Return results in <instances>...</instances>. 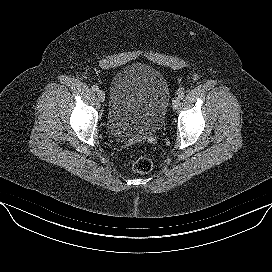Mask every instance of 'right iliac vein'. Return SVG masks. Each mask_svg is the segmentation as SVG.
<instances>
[{"label": "right iliac vein", "instance_id": "63e3f726", "mask_svg": "<svg viewBox=\"0 0 272 272\" xmlns=\"http://www.w3.org/2000/svg\"><path fill=\"white\" fill-rule=\"evenodd\" d=\"M97 96H98L99 101H101V102L105 101V93H104V91L98 90Z\"/></svg>", "mask_w": 272, "mask_h": 272}]
</instances>
